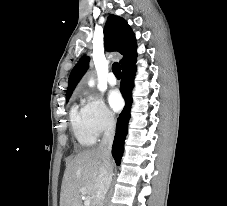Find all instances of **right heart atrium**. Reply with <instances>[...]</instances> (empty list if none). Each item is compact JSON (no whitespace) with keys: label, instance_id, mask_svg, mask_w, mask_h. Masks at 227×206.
I'll return each instance as SVG.
<instances>
[{"label":"right heart atrium","instance_id":"obj_1","mask_svg":"<svg viewBox=\"0 0 227 206\" xmlns=\"http://www.w3.org/2000/svg\"><path fill=\"white\" fill-rule=\"evenodd\" d=\"M82 111L86 124L95 137L110 132L115 127L116 119L105 102L94 95H85Z\"/></svg>","mask_w":227,"mask_h":206}]
</instances>
